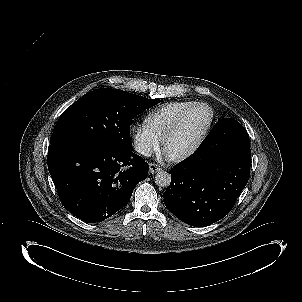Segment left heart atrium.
<instances>
[{
	"label": "left heart atrium",
	"instance_id": "39dd6f15",
	"mask_svg": "<svg viewBox=\"0 0 302 302\" xmlns=\"http://www.w3.org/2000/svg\"><path fill=\"white\" fill-rule=\"evenodd\" d=\"M158 155L163 157L165 160L171 161V162H178L180 159L179 153L174 151L171 147L167 146L165 149L158 152Z\"/></svg>",
	"mask_w": 302,
	"mask_h": 302
}]
</instances>
